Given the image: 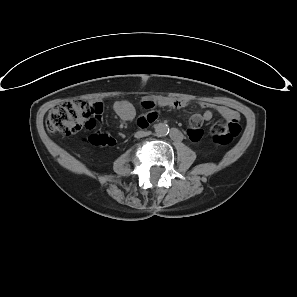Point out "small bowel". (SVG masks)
<instances>
[{
  "instance_id": "small-bowel-1",
  "label": "small bowel",
  "mask_w": 297,
  "mask_h": 297,
  "mask_svg": "<svg viewBox=\"0 0 297 297\" xmlns=\"http://www.w3.org/2000/svg\"><path fill=\"white\" fill-rule=\"evenodd\" d=\"M156 105L162 107H170L174 109H181L188 105V102L185 100H174L170 98H162L157 103L152 100L143 101V107L148 111L144 115H142L138 122L141 127L148 126L151 122H153L157 118V114L154 111ZM201 107H208L209 105L205 102L200 103ZM115 113L123 120V121H131L135 117V108L127 100L117 101L114 104ZM216 111L221 114L223 117L227 119H231L234 117H238L237 113L225 106H216ZM213 117V113L210 109H206L203 113H196L192 115L190 119L191 127L188 130V136L192 141H198L202 137V130L199 128L201 124L211 120Z\"/></svg>"
}]
</instances>
